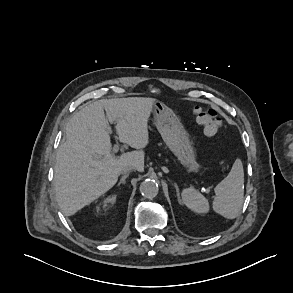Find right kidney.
Segmentation results:
<instances>
[{"label":"right kidney","mask_w":293,"mask_h":293,"mask_svg":"<svg viewBox=\"0 0 293 293\" xmlns=\"http://www.w3.org/2000/svg\"><path fill=\"white\" fill-rule=\"evenodd\" d=\"M116 200V196L112 195L104 200V207H107L109 204H114Z\"/></svg>","instance_id":"right-kidney-1"}]
</instances>
